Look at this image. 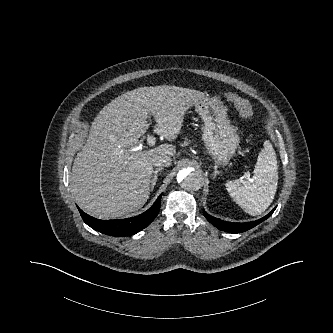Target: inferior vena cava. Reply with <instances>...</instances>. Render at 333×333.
<instances>
[{"instance_id":"inferior-vena-cava-1","label":"inferior vena cava","mask_w":333,"mask_h":333,"mask_svg":"<svg viewBox=\"0 0 333 333\" xmlns=\"http://www.w3.org/2000/svg\"><path fill=\"white\" fill-rule=\"evenodd\" d=\"M171 161L169 156H157L153 159V165L156 167L169 166Z\"/></svg>"}]
</instances>
